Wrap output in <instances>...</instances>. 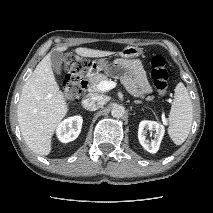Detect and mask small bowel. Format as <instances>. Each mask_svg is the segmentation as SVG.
I'll use <instances>...</instances> for the list:
<instances>
[{
  "label": "small bowel",
  "instance_id": "c3829d8e",
  "mask_svg": "<svg viewBox=\"0 0 213 213\" xmlns=\"http://www.w3.org/2000/svg\"><path fill=\"white\" fill-rule=\"evenodd\" d=\"M114 70L121 73L123 84L133 94L142 96L150 92L151 89L140 61L119 59L114 64Z\"/></svg>",
  "mask_w": 213,
  "mask_h": 213
}]
</instances>
